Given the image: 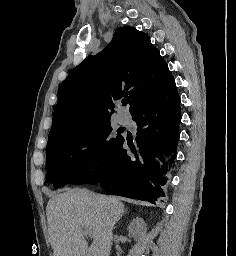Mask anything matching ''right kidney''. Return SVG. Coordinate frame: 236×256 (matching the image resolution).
Masks as SVG:
<instances>
[{
  "mask_svg": "<svg viewBox=\"0 0 236 256\" xmlns=\"http://www.w3.org/2000/svg\"><path fill=\"white\" fill-rule=\"evenodd\" d=\"M128 232L129 234H132L136 242H147V228L143 218H134V220H132L128 226Z\"/></svg>",
  "mask_w": 236,
  "mask_h": 256,
  "instance_id": "right-kidney-1",
  "label": "right kidney"
}]
</instances>
